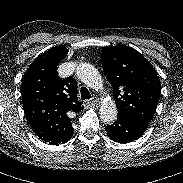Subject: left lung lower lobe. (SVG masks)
I'll use <instances>...</instances> for the list:
<instances>
[{
    "instance_id": "obj_1",
    "label": "left lung lower lobe",
    "mask_w": 183,
    "mask_h": 183,
    "mask_svg": "<svg viewBox=\"0 0 183 183\" xmlns=\"http://www.w3.org/2000/svg\"><path fill=\"white\" fill-rule=\"evenodd\" d=\"M147 127L146 122L118 115L115 123L108 125L106 131L112 140L124 144L138 139Z\"/></svg>"
}]
</instances>
